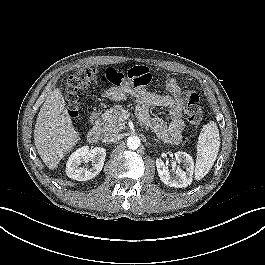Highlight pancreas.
Here are the masks:
<instances>
[{
  "mask_svg": "<svg viewBox=\"0 0 265 265\" xmlns=\"http://www.w3.org/2000/svg\"><path fill=\"white\" fill-rule=\"evenodd\" d=\"M124 108L115 105L105 111L102 115L100 128L104 134L118 133L125 128V122L122 118Z\"/></svg>",
  "mask_w": 265,
  "mask_h": 265,
  "instance_id": "obj_1",
  "label": "pancreas"
}]
</instances>
